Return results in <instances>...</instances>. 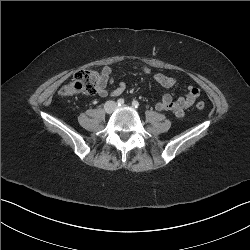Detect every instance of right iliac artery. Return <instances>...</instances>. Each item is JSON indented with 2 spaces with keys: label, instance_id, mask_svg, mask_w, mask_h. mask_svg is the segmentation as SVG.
<instances>
[{
  "label": "right iliac artery",
  "instance_id": "right-iliac-artery-1",
  "mask_svg": "<svg viewBox=\"0 0 250 250\" xmlns=\"http://www.w3.org/2000/svg\"><path fill=\"white\" fill-rule=\"evenodd\" d=\"M117 104H118V106L124 105V99H122V98L118 99Z\"/></svg>",
  "mask_w": 250,
  "mask_h": 250
}]
</instances>
